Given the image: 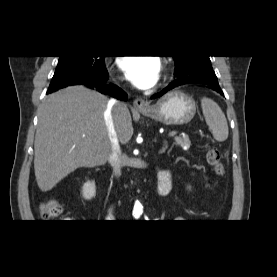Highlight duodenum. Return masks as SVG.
Wrapping results in <instances>:
<instances>
[{"label":"duodenum","instance_id":"1","mask_svg":"<svg viewBox=\"0 0 277 277\" xmlns=\"http://www.w3.org/2000/svg\"><path fill=\"white\" fill-rule=\"evenodd\" d=\"M159 180H162V181H163L164 183H166L167 185L170 184L168 190H167L165 193L160 194V193H159V190H158V193H159L160 195H165V194H167V193L169 192L170 187H171V179H170V176H169L168 174H166L165 171H163V172H162V175H161V177H160ZM158 187H159V186H158ZM158 189H159V188H158Z\"/></svg>","mask_w":277,"mask_h":277}]
</instances>
